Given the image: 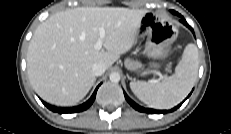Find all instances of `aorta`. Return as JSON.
I'll use <instances>...</instances> for the list:
<instances>
[{"instance_id":"aorta-1","label":"aorta","mask_w":231,"mask_h":134,"mask_svg":"<svg viewBox=\"0 0 231 134\" xmlns=\"http://www.w3.org/2000/svg\"><path fill=\"white\" fill-rule=\"evenodd\" d=\"M111 82H119L120 81V74L118 72H112L109 76Z\"/></svg>"}]
</instances>
